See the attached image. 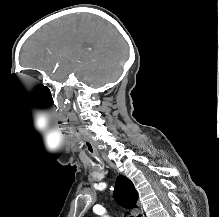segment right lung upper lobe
Masks as SVG:
<instances>
[{"instance_id": "cb5924a9", "label": "right lung upper lobe", "mask_w": 219, "mask_h": 217, "mask_svg": "<svg viewBox=\"0 0 219 217\" xmlns=\"http://www.w3.org/2000/svg\"><path fill=\"white\" fill-rule=\"evenodd\" d=\"M138 194L132 182L124 177L119 176L115 186V199L126 208H135Z\"/></svg>"}]
</instances>
